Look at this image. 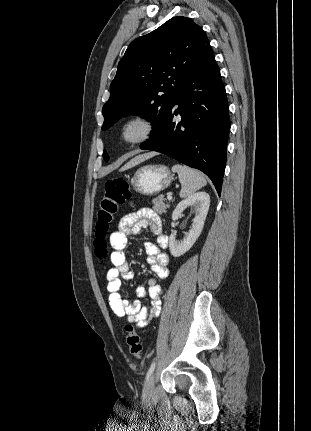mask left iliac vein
<instances>
[{
    "label": "left iliac vein",
    "mask_w": 311,
    "mask_h": 431,
    "mask_svg": "<svg viewBox=\"0 0 311 431\" xmlns=\"http://www.w3.org/2000/svg\"><path fill=\"white\" fill-rule=\"evenodd\" d=\"M154 390V375H151L147 380L144 390H143V399H150Z\"/></svg>",
    "instance_id": "1"
}]
</instances>
